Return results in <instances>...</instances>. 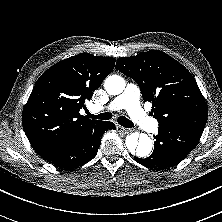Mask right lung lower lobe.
Segmentation results:
<instances>
[{"label":"right lung lower lobe","instance_id":"obj_1","mask_svg":"<svg viewBox=\"0 0 222 222\" xmlns=\"http://www.w3.org/2000/svg\"><path fill=\"white\" fill-rule=\"evenodd\" d=\"M109 129H116L112 122L98 121L72 139L50 144L35 151L57 167L78 168L96 156L101 138Z\"/></svg>","mask_w":222,"mask_h":222}]
</instances>
